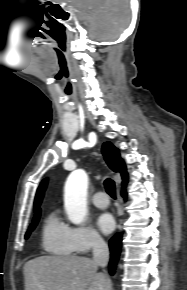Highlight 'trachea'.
Masks as SVG:
<instances>
[{
    "label": "trachea",
    "mask_w": 187,
    "mask_h": 290,
    "mask_svg": "<svg viewBox=\"0 0 187 290\" xmlns=\"http://www.w3.org/2000/svg\"><path fill=\"white\" fill-rule=\"evenodd\" d=\"M104 186L106 189V192L112 197V198H116V188H115V183L113 180L111 179H106L104 181Z\"/></svg>",
    "instance_id": "3493384b"
}]
</instances>
